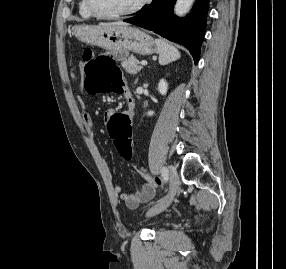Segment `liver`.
Instances as JSON below:
<instances>
[{"mask_svg": "<svg viewBox=\"0 0 286 269\" xmlns=\"http://www.w3.org/2000/svg\"><path fill=\"white\" fill-rule=\"evenodd\" d=\"M100 25H105V26H117V25L127 26V24L123 23V22L101 23Z\"/></svg>", "mask_w": 286, "mask_h": 269, "instance_id": "obj_1", "label": "liver"}]
</instances>
